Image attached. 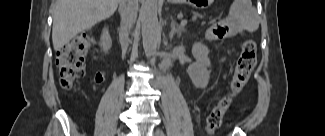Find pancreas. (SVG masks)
I'll use <instances>...</instances> for the list:
<instances>
[{"label":"pancreas","mask_w":325,"mask_h":136,"mask_svg":"<svg viewBox=\"0 0 325 136\" xmlns=\"http://www.w3.org/2000/svg\"><path fill=\"white\" fill-rule=\"evenodd\" d=\"M190 15L193 16L189 19V22L191 24H205L206 23V18H205V13L204 12H197L196 9H191L190 10Z\"/></svg>","instance_id":"obj_1"}]
</instances>
